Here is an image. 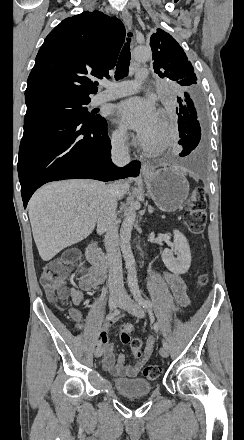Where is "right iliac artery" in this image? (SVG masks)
I'll list each match as a JSON object with an SVG mask.
<instances>
[{"instance_id":"right-iliac-artery-1","label":"right iliac artery","mask_w":244,"mask_h":440,"mask_svg":"<svg viewBox=\"0 0 244 440\" xmlns=\"http://www.w3.org/2000/svg\"><path fill=\"white\" fill-rule=\"evenodd\" d=\"M119 312H120L119 309H116V310H114L113 312H110V313L106 316V320H107V321H111V320H113L114 317H115ZM97 345H98V346H101V345H102V340H99V341L97 342Z\"/></svg>"}]
</instances>
